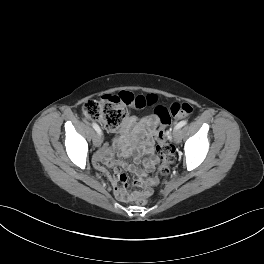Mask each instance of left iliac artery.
Here are the masks:
<instances>
[{
    "instance_id": "1",
    "label": "left iliac artery",
    "mask_w": 264,
    "mask_h": 264,
    "mask_svg": "<svg viewBox=\"0 0 264 264\" xmlns=\"http://www.w3.org/2000/svg\"><path fill=\"white\" fill-rule=\"evenodd\" d=\"M187 124V120H183L181 122H179L174 129H180L181 127H183L184 125Z\"/></svg>"
}]
</instances>
